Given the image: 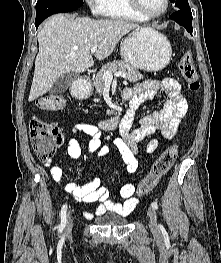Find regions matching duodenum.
Wrapping results in <instances>:
<instances>
[{"label":"duodenum","mask_w":221,"mask_h":263,"mask_svg":"<svg viewBox=\"0 0 221 263\" xmlns=\"http://www.w3.org/2000/svg\"><path fill=\"white\" fill-rule=\"evenodd\" d=\"M73 92L76 96H78V89L77 87H74L73 88ZM121 100H122V103H125L128 99V96L126 94H122V97H121ZM133 109H136V107H133ZM131 120V114L130 113H126L123 117H120V116H117V117H114L112 119H109V120H106L104 123H103V126L106 130H109V131H112L114 130L115 128H117V126L119 124H123V123H128L129 121Z\"/></svg>","instance_id":"410a0bca"}]
</instances>
